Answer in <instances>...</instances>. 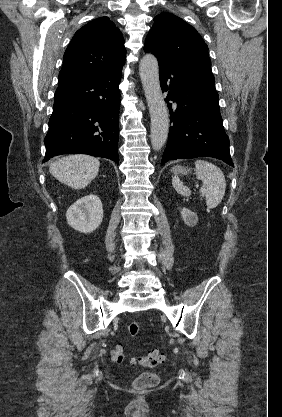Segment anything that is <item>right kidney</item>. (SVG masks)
Segmentation results:
<instances>
[{"label": "right kidney", "mask_w": 282, "mask_h": 417, "mask_svg": "<svg viewBox=\"0 0 282 417\" xmlns=\"http://www.w3.org/2000/svg\"><path fill=\"white\" fill-rule=\"evenodd\" d=\"M67 223L80 233L96 231L103 221V206L99 196L87 194L81 196L69 206L66 213Z\"/></svg>", "instance_id": "1"}]
</instances>
